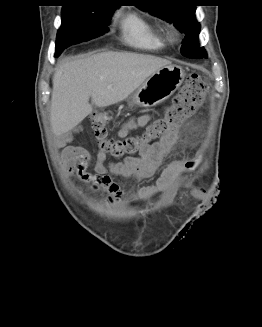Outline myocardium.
I'll return each instance as SVG.
<instances>
[{"instance_id":"f54148a6","label":"myocardium","mask_w":262,"mask_h":327,"mask_svg":"<svg viewBox=\"0 0 262 327\" xmlns=\"http://www.w3.org/2000/svg\"><path fill=\"white\" fill-rule=\"evenodd\" d=\"M165 33H166L167 38L170 41H176L178 36H179L178 29L173 25L167 26L166 29H165Z\"/></svg>"}]
</instances>
